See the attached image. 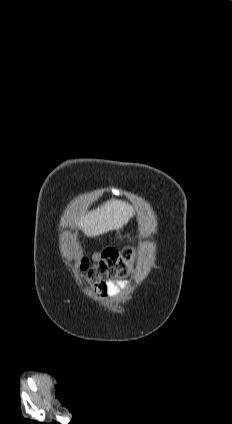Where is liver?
Wrapping results in <instances>:
<instances>
[{
  "instance_id": "1",
  "label": "liver",
  "mask_w": 232,
  "mask_h": 424,
  "mask_svg": "<svg viewBox=\"0 0 232 424\" xmlns=\"http://www.w3.org/2000/svg\"><path fill=\"white\" fill-rule=\"evenodd\" d=\"M134 209L121 200H110L81 217L80 229L88 237H95L111 230L121 229L133 217Z\"/></svg>"
}]
</instances>
